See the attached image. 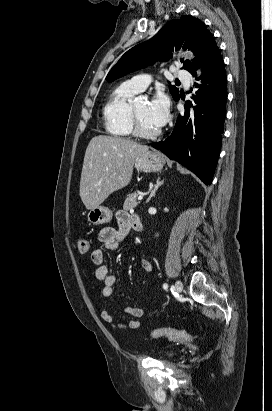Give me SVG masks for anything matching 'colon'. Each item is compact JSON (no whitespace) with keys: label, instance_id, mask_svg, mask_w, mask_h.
Segmentation results:
<instances>
[{"label":"colon","instance_id":"colon-1","mask_svg":"<svg viewBox=\"0 0 272 411\" xmlns=\"http://www.w3.org/2000/svg\"><path fill=\"white\" fill-rule=\"evenodd\" d=\"M90 247L89 241L86 238H81L78 241V249L82 253L88 252ZM152 338H166L174 342H191L196 336L184 330L171 328H155L149 332Z\"/></svg>","mask_w":272,"mask_h":411}]
</instances>
